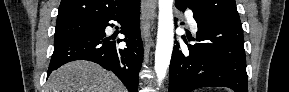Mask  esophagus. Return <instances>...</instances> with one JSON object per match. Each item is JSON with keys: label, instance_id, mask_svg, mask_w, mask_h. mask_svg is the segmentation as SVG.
<instances>
[{"label": "esophagus", "instance_id": "34e87169", "mask_svg": "<svg viewBox=\"0 0 289 92\" xmlns=\"http://www.w3.org/2000/svg\"><path fill=\"white\" fill-rule=\"evenodd\" d=\"M145 5L148 21L144 22L141 26V34L144 39H146L147 34L150 32V30H153V24L156 17L157 2L156 0H146Z\"/></svg>", "mask_w": 289, "mask_h": 92}]
</instances>
